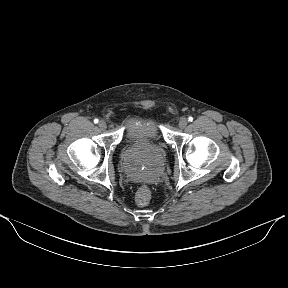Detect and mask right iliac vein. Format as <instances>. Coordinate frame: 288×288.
<instances>
[{
    "label": "right iliac vein",
    "instance_id": "right-iliac-vein-1",
    "mask_svg": "<svg viewBox=\"0 0 288 288\" xmlns=\"http://www.w3.org/2000/svg\"><path fill=\"white\" fill-rule=\"evenodd\" d=\"M98 126H99V128H100L101 130H105V129L107 128V124H106V122H105L104 120H101V121L99 122Z\"/></svg>",
    "mask_w": 288,
    "mask_h": 288
}]
</instances>
